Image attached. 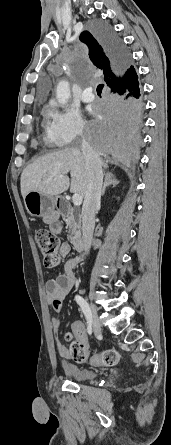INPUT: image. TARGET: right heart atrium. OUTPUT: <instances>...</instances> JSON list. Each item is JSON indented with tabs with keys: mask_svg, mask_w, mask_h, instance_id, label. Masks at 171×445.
I'll list each match as a JSON object with an SVG mask.
<instances>
[{
	"mask_svg": "<svg viewBox=\"0 0 171 445\" xmlns=\"http://www.w3.org/2000/svg\"><path fill=\"white\" fill-rule=\"evenodd\" d=\"M52 128L60 145L72 144L86 133V124L74 109L54 111Z\"/></svg>",
	"mask_w": 171,
	"mask_h": 445,
	"instance_id": "right-heart-atrium-1",
	"label": "right heart atrium"
}]
</instances>
